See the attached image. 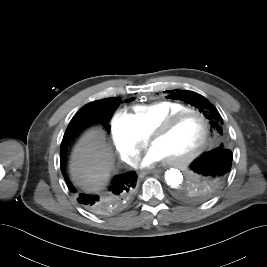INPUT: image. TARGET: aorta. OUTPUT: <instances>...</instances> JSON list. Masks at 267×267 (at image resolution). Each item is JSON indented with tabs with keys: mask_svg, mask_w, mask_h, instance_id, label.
I'll return each instance as SVG.
<instances>
[{
	"mask_svg": "<svg viewBox=\"0 0 267 267\" xmlns=\"http://www.w3.org/2000/svg\"><path fill=\"white\" fill-rule=\"evenodd\" d=\"M183 178V173L178 169L171 168L165 172V181L172 188L179 187L183 182Z\"/></svg>",
	"mask_w": 267,
	"mask_h": 267,
	"instance_id": "762f6f07",
	"label": "aorta"
}]
</instances>
